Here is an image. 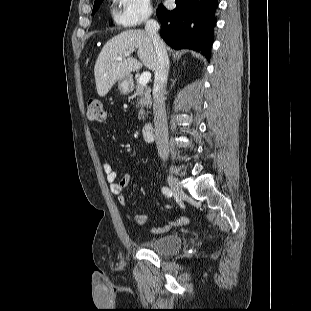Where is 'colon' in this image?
<instances>
[{
  "mask_svg": "<svg viewBox=\"0 0 311 311\" xmlns=\"http://www.w3.org/2000/svg\"><path fill=\"white\" fill-rule=\"evenodd\" d=\"M87 117L90 121H102L104 112L99 99H91L87 104Z\"/></svg>",
  "mask_w": 311,
  "mask_h": 311,
  "instance_id": "obj_1",
  "label": "colon"
}]
</instances>
